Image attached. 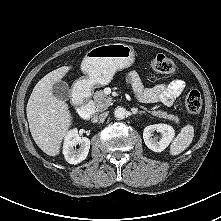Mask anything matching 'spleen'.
<instances>
[{"instance_id": "3e777b00", "label": "spleen", "mask_w": 221, "mask_h": 221, "mask_svg": "<svg viewBox=\"0 0 221 221\" xmlns=\"http://www.w3.org/2000/svg\"><path fill=\"white\" fill-rule=\"evenodd\" d=\"M194 137V128L192 125L188 124L184 126L180 133L176 136L170 146V154L178 155L186 150L191 144Z\"/></svg>"}]
</instances>
